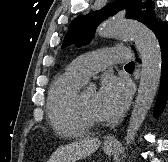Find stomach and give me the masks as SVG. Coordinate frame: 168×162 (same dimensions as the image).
<instances>
[{"label":"stomach","mask_w":168,"mask_h":162,"mask_svg":"<svg viewBox=\"0 0 168 162\" xmlns=\"http://www.w3.org/2000/svg\"><path fill=\"white\" fill-rule=\"evenodd\" d=\"M103 151L107 155H112L116 151V146H112V147L104 146Z\"/></svg>","instance_id":"1"}]
</instances>
